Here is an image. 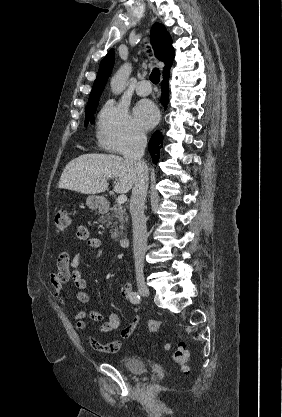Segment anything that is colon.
Segmentation results:
<instances>
[{"label": "colon", "mask_w": 282, "mask_h": 417, "mask_svg": "<svg viewBox=\"0 0 282 417\" xmlns=\"http://www.w3.org/2000/svg\"><path fill=\"white\" fill-rule=\"evenodd\" d=\"M71 226L70 214L67 210L61 209L55 212L53 218V227L57 232H63ZM162 322L157 319H151L148 322V332L153 335L158 332L161 328ZM167 351H172V358L175 364L180 366L183 372L188 371L187 360H188V351L183 342H178L174 346L167 344L165 346Z\"/></svg>", "instance_id": "1"}]
</instances>
